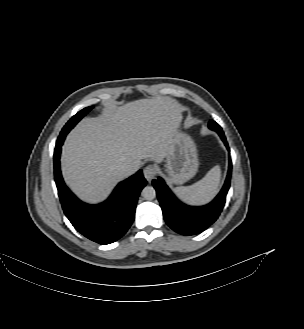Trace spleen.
I'll return each instance as SVG.
<instances>
[{"mask_svg": "<svg viewBox=\"0 0 304 329\" xmlns=\"http://www.w3.org/2000/svg\"><path fill=\"white\" fill-rule=\"evenodd\" d=\"M221 177L219 166L213 167L198 182L175 188V193L187 203L200 205L210 201L218 191Z\"/></svg>", "mask_w": 304, "mask_h": 329, "instance_id": "3e777b00", "label": "spleen"}]
</instances>
